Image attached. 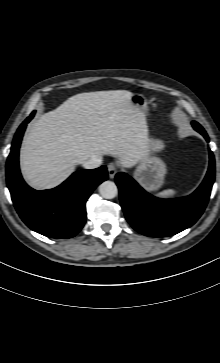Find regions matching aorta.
I'll list each match as a JSON object with an SVG mask.
<instances>
[{"mask_svg":"<svg viewBox=\"0 0 220 363\" xmlns=\"http://www.w3.org/2000/svg\"><path fill=\"white\" fill-rule=\"evenodd\" d=\"M99 193L105 199H113L118 194V188L112 181H104L99 186Z\"/></svg>","mask_w":220,"mask_h":363,"instance_id":"obj_1","label":"aorta"}]
</instances>
